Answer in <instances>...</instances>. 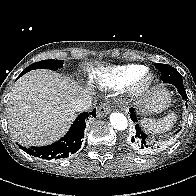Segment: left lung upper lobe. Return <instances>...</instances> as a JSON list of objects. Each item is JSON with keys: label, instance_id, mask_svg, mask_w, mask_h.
Instances as JSON below:
<instances>
[{"label": "left lung upper lobe", "instance_id": "obj_1", "mask_svg": "<svg viewBox=\"0 0 196 196\" xmlns=\"http://www.w3.org/2000/svg\"><path fill=\"white\" fill-rule=\"evenodd\" d=\"M163 64H160V63H157V64H154V66L158 69L159 66H162ZM167 65V64H166ZM175 69V68H174ZM176 70V69H175ZM177 71V70H176ZM178 72V71H177ZM179 74V72H178ZM180 75V74H179ZM180 79H182V76L180 75ZM162 80V78H161Z\"/></svg>", "mask_w": 196, "mask_h": 196}]
</instances>
